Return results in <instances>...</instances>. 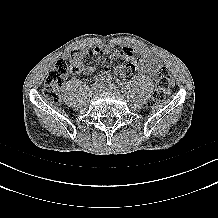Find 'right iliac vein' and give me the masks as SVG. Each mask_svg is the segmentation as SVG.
Returning a JSON list of instances; mask_svg holds the SVG:
<instances>
[{
  "instance_id": "right-iliac-vein-1",
  "label": "right iliac vein",
  "mask_w": 218,
  "mask_h": 218,
  "mask_svg": "<svg viewBox=\"0 0 218 218\" xmlns=\"http://www.w3.org/2000/svg\"><path fill=\"white\" fill-rule=\"evenodd\" d=\"M101 87H102L101 84L93 85V87H92V92H93L94 94L98 93L99 91H101Z\"/></svg>"
}]
</instances>
